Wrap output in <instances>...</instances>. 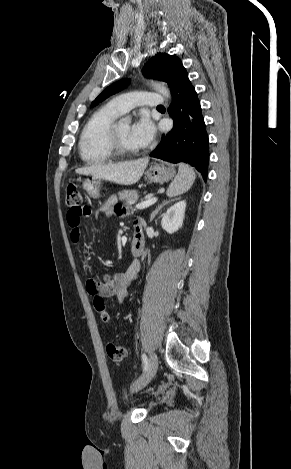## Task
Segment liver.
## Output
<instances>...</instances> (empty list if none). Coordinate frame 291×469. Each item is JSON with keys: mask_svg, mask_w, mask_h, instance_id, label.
<instances>
[{"mask_svg": "<svg viewBox=\"0 0 291 469\" xmlns=\"http://www.w3.org/2000/svg\"><path fill=\"white\" fill-rule=\"evenodd\" d=\"M149 162V158L117 164H97L76 169L77 174L90 175L121 185H132L138 182Z\"/></svg>", "mask_w": 291, "mask_h": 469, "instance_id": "6515ba94", "label": "liver"}]
</instances>
